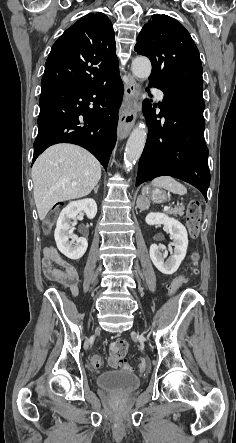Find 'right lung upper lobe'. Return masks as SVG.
<instances>
[{"label":"right lung upper lobe","mask_w":236,"mask_h":443,"mask_svg":"<svg viewBox=\"0 0 236 443\" xmlns=\"http://www.w3.org/2000/svg\"><path fill=\"white\" fill-rule=\"evenodd\" d=\"M115 50L113 26L105 14L80 18L52 46L42 88L91 84L118 73Z\"/></svg>","instance_id":"1"}]
</instances>
